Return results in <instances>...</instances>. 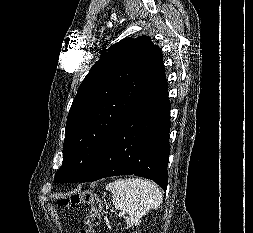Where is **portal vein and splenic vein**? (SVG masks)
I'll return each mask as SVG.
<instances>
[{"label": "portal vein and splenic vein", "instance_id": "1", "mask_svg": "<svg viewBox=\"0 0 253 233\" xmlns=\"http://www.w3.org/2000/svg\"><path fill=\"white\" fill-rule=\"evenodd\" d=\"M124 215V213L122 212V213H119V216H123Z\"/></svg>", "mask_w": 253, "mask_h": 233}]
</instances>
